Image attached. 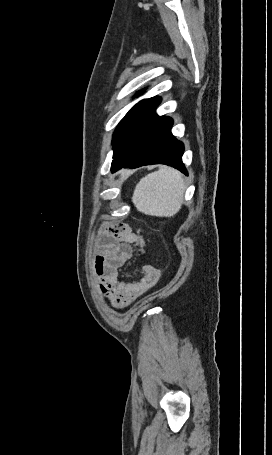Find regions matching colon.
<instances>
[{"label":"colon","instance_id":"obj_1","mask_svg":"<svg viewBox=\"0 0 272 455\" xmlns=\"http://www.w3.org/2000/svg\"><path fill=\"white\" fill-rule=\"evenodd\" d=\"M141 239H143V238L141 237ZM141 252H142V254H145V253H146V250H143V251H141Z\"/></svg>","mask_w":272,"mask_h":455}]
</instances>
